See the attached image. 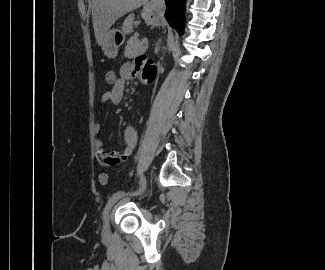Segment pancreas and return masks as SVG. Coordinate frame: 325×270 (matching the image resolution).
Listing matches in <instances>:
<instances>
[{"mask_svg": "<svg viewBox=\"0 0 325 270\" xmlns=\"http://www.w3.org/2000/svg\"><path fill=\"white\" fill-rule=\"evenodd\" d=\"M146 49L147 46L144 45L143 41H140L137 36H133L127 42L124 55L125 57L132 59L144 53Z\"/></svg>", "mask_w": 325, "mask_h": 270, "instance_id": "cf45deb5", "label": "pancreas"}]
</instances>
